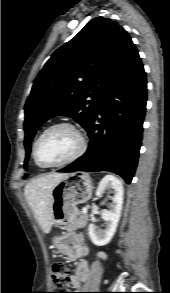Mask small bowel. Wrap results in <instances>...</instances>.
Listing matches in <instances>:
<instances>
[{"label": "small bowel", "instance_id": "1", "mask_svg": "<svg viewBox=\"0 0 170 293\" xmlns=\"http://www.w3.org/2000/svg\"><path fill=\"white\" fill-rule=\"evenodd\" d=\"M64 239V252L66 256L69 259H79L75 272L70 278L71 288L77 290L82 287V284L90 275V268L86 260L88 255L86 240L83 235L74 232L67 233ZM98 257L104 258V255L99 254Z\"/></svg>", "mask_w": 170, "mask_h": 293}]
</instances>
